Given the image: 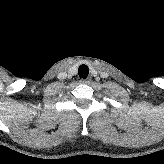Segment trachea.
Masks as SVG:
<instances>
[{
	"label": "trachea",
	"instance_id": "obj_1",
	"mask_svg": "<svg viewBox=\"0 0 164 164\" xmlns=\"http://www.w3.org/2000/svg\"><path fill=\"white\" fill-rule=\"evenodd\" d=\"M89 74L87 65L83 64L78 68V75L80 78L86 79Z\"/></svg>",
	"mask_w": 164,
	"mask_h": 164
}]
</instances>
